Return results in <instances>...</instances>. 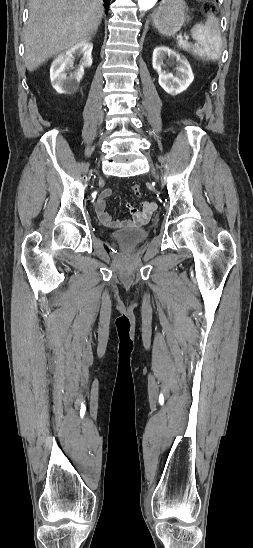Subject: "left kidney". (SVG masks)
Returning a JSON list of instances; mask_svg holds the SVG:
<instances>
[{
  "label": "left kidney",
  "mask_w": 253,
  "mask_h": 548,
  "mask_svg": "<svg viewBox=\"0 0 253 548\" xmlns=\"http://www.w3.org/2000/svg\"><path fill=\"white\" fill-rule=\"evenodd\" d=\"M166 57L178 64L175 75L162 70L163 60ZM152 66L159 75V85L170 95L182 93L194 80V75L187 59L167 47L161 46L154 49Z\"/></svg>",
  "instance_id": "1"
}]
</instances>
